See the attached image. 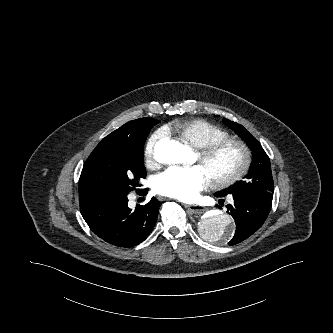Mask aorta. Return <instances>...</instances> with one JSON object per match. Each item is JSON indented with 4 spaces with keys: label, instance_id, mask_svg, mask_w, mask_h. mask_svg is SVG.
I'll use <instances>...</instances> for the list:
<instances>
[{
    "label": "aorta",
    "instance_id": "aorta-1",
    "mask_svg": "<svg viewBox=\"0 0 333 333\" xmlns=\"http://www.w3.org/2000/svg\"><path fill=\"white\" fill-rule=\"evenodd\" d=\"M188 153L186 146L173 139H162L154 148L155 159L163 164L183 163ZM199 228L204 239L222 243L230 240L235 231L231 217L219 210L210 211Z\"/></svg>",
    "mask_w": 333,
    "mask_h": 333
}]
</instances>
